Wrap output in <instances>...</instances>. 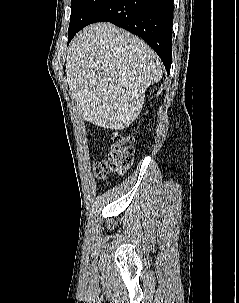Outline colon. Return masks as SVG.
Returning a JSON list of instances; mask_svg holds the SVG:
<instances>
[{
    "mask_svg": "<svg viewBox=\"0 0 239 303\" xmlns=\"http://www.w3.org/2000/svg\"><path fill=\"white\" fill-rule=\"evenodd\" d=\"M133 139L130 136L115 134L112 137V150L107 158L95 165L96 176L103 180L110 174H122L132 164Z\"/></svg>",
    "mask_w": 239,
    "mask_h": 303,
    "instance_id": "obj_1",
    "label": "colon"
}]
</instances>
